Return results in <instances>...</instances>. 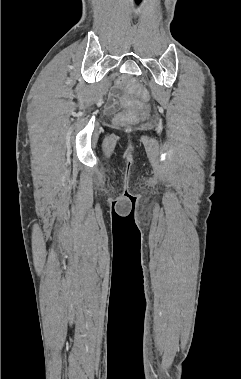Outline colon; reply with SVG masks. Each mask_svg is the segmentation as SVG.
<instances>
[{
	"label": "colon",
	"mask_w": 241,
	"mask_h": 379,
	"mask_svg": "<svg viewBox=\"0 0 241 379\" xmlns=\"http://www.w3.org/2000/svg\"><path fill=\"white\" fill-rule=\"evenodd\" d=\"M123 81L121 80L120 83ZM141 95L144 98H138L133 100L125 96L121 97V103L124 107L127 108L121 115L117 118V123H133L136 122L139 117L144 113V105L146 104V93L141 91ZM148 109H153V104H148Z\"/></svg>",
	"instance_id": "5ec220e1"
}]
</instances>
